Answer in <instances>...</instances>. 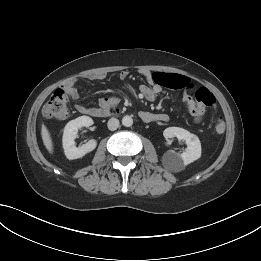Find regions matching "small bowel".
<instances>
[{
  "instance_id": "c3829d8e",
  "label": "small bowel",
  "mask_w": 261,
  "mask_h": 261,
  "mask_svg": "<svg viewBox=\"0 0 261 261\" xmlns=\"http://www.w3.org/2000/svg\"><path fill=\"white\" fill-rule=\"evenodd\" d=\"M142 76L146 79L148 85L140 86V93L141 95L149 100L153 101L157 95L161 92L162 87H169L172 89H184L187 88L188 90H192L193 86L190 85V80L182 75L179 74H170V73H162V72H151L149 70H142ZM128 76L127 71H122L120 73L121 79H126ZM106 77V74L103 72H94L86 76L88 80H102ZM63 89L66 93L74 100L79 99L80 94L76 87V80L72 79L67 81ZM183 102L186 104L189 112L194 117L196 122H199L204 114V109L200 108L197 102L193 99L189 92H185L182 96ZM114 104L113 99L111 98H102L100 100V107L92 108L87 107L82 104H76L75 108L78 112L87 115H93L95 111L98 110H106L110 108ZM141 118L144 120L145 118L148 119L146 122H166L168 121V115L160 113L155 114L147 111L141 112ZM145 121V120H144Z\"/></svg>"
}]
</instances>
